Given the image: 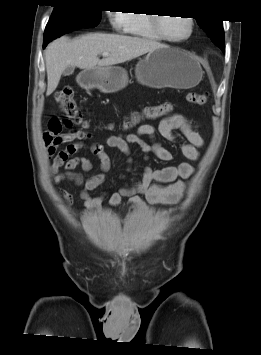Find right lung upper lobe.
<instances>
[{
	"mask_svg": "<svg viewBox=\"0 0 261 355\" xmlns=\"http://www.w3.org/2000/svg\"><path fill=\"white\" fill-rule=\"evenodd\" d=\"M64 1H68V0H55L56 3H61V2H64Z\"/></svg>",
	"mask_w": 261,
	"mask_h": 355,
	"instance_id": "obj_1",
	"label": "right lung upper lobe"
}]
</instances>
